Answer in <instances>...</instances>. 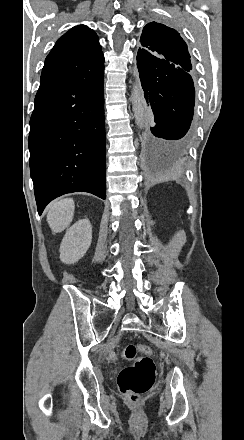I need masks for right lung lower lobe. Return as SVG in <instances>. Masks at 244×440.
Returning a JSON list of instances; mask_svg holds the SVG:
<instances>
[{"instance_id":"98d812e1","label":"right lung lower lobe","mask_w":244,"mask_h":440,"mask_svg":"<svg viewBox=\"0 0 244 440\" xmlns=\"http://www.w3.org/2000/svg\"><path fill=\"white\" fill-rule=\"evenodd\" d=\"M104 63L41 79L30 119V172L39 214L54 198H106Z\"/></svg>"}]
</instances>
